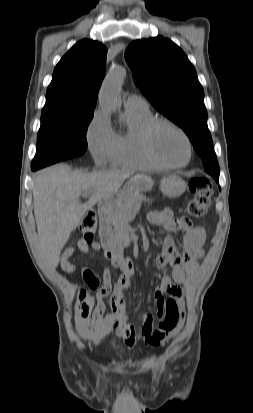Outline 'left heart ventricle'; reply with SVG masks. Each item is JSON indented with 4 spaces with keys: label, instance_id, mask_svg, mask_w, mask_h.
Here are the masks:
<instances>
[{
    "label": "left heart ventricle",
    "instance_id": "b2bd125f",
    "mask_svg": "<svg viewBox=\"0 0 253 413\" xmlns=\"http://www.w3.org/2000/svg\"><path fill=\"white\" fill-rule=\"evenodd\" d=\"M156 154L170 164H181L187 159L188 150L184 138L173 128L160 125L152 137Z\"/></svg>",
    "mask_w": 253,
    "mask_h": 413
}]
</instances>
